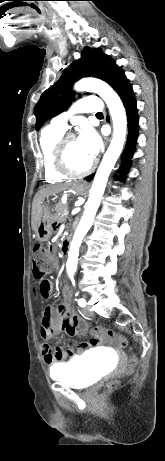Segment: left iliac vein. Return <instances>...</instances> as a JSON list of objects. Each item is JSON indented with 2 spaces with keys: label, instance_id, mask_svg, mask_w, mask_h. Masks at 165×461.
Listing matches in <instances>:
<instances>
[{
  "label": "left iliac vein",
  "instance_id": "4c4485c4",
  "mask_svg": "<svg viewBox=\"0 0 165 461\" xmlns=\"http://www.w3.org/2000/svg\"><path fill=\"white\" fill-rule=\"evenodd\" d=\"M83 314L88 317L94 316L93 311H91L89 307L83 308Z\"/></svg>",
  "mask_w": 165,
  "mask_h": 461
}]
</instances>
